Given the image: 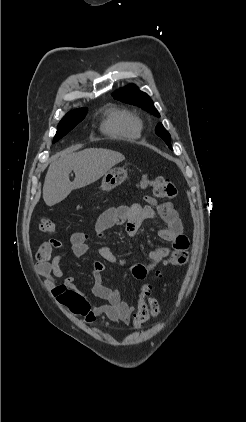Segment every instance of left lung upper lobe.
Returning a JSON list of instances; mask_svg holds the SVG:
<instances>
[{
    "label": "left lung upper lobe",
    "instance_id": "5c2ea615",
    "mask_svg": "<svg viewBox=\"0 0 246 422\" xmlns=\"http://www.w3.org/2000/svg\"><path fill=\"white\" fill-rule=\"evenodd\" d=\"M113 97L124 103H129V104L141 107L142 109L154 114L157 117L160 116L158 111L154 107V104L152 100L150 99V97L146 93L140 91L134 84H130L128 87L117 90L113 94ZM155 132L159 137H161L166 142L169 148L172 149L171 142H170V138H171L170 134L162 126L161 123H159L156 126Z\"/></svg>",
    "mask_w": 246,
    "mask_h": 422
}]
</instances>
